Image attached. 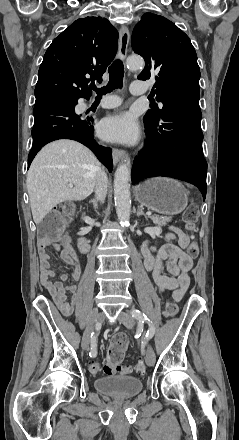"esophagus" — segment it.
<instances>
[{"instance_id": "obj_1", "label": "esophagus", "mask_w": 239, "mask_h": 440, "mask_svg": "<svg viewBox=\"0 0 239 440\" xmlns=\"http://www.w3.org/2000/svg\"><path fill=\"white\" fill-rule=\"evenodd\" d=\"M130 40L129 30L125 25L119 29V58L124 60L127 55L128 44ZM126 155L124 150L113 149V163L116 165Z\"/></svg>"}]
</instances>
